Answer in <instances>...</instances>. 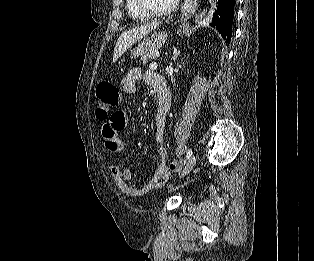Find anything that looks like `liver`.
<instances>
[{
	"label": "liver",
	"mask_w": 314,
	"mask_h": 261,
	"mask_svg": "<svg viewBox=\"0 0 314 261\" xmlns=\"http://www.w3.org/2000/svg\"><path fill=\"white\" fill-rule=\"evenodd\" d=\"M158 25L159 22H153L123 32L116 43L113 55V62H116L127 49H129L138 40L146 36L149 32L154 30Z\"/></svg>",
	"instance_id": "1"
}]
</instances>
